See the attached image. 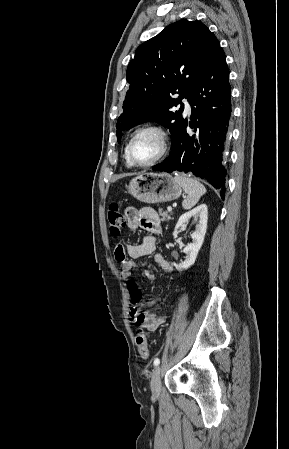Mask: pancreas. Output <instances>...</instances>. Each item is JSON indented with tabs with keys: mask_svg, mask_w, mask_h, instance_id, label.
I'll use <instances>...</instances> for the list:
<instances>
[{
	"mask_svg": "<svg viewBox=\"0 0 289 449\" xmlns=\"http://www.w3.org/2000/svg\"><path fill=\"white\" fill-rule=\"evenodd\" d=\"M160 216H161V220L164 222H168L171 219V213L163 211L162 209L159 208L158 210Z\"/></svg>",
	"mask_w": 289,
	"mask_h": 449,
	"instance_id": "cf45deb5",
	"label": "pancreas"
}]
</instances>
